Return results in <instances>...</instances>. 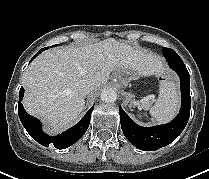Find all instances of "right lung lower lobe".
I'll use <instances>...</instances> for the list:
<instances>
[{
	"label": "right lung lower lobe",
	"instance_id": "98d812e1",
	"mask_svg": "<svg viewBox=\"0 0 209 179\" xmlns=\"http://www.w3.org/2000/svg\"><path fill=\"white\" fill-rule=\"evenodd\" d=\"M46 50L45 48L41 49L33 58L32 60L37 57L42 51ZM31 60V61H32ZM24 95V89L21 87L19 91V103H18V114L19 118L27 130L29 135L39 142L41 145L45 147H49V145H54L57 149H65L75 142H77L86 132L88 129L91 112L93 111L94 107H91L82 120L77 123L75 126L71 127L70 129L66 130L65 132L61 133L57 136H49L43 132L41 122L36 119L35 117L29 115L23 105L21 100Z\"/></svg>",
	"mask_w": 209,
	"mask_h": 179
}]
</instances>
